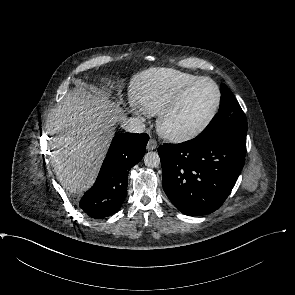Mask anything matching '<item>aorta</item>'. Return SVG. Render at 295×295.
Listing matches in <instances>:
<instances>
[{
  "instance_id": "obj_1",
  "label": "aorta",
  "mask_w": 295,
  "mask_h": 295,
  "mask_svg": "<svg viewBox=\"0 0 295 295\" xmlns=\"http://www.w3.org/2000/svg\"><path fill=\"white\" fill-rule=\"evenodd\" d=\"M144 163L148 168H156L160 164V157L157 152H148L144 156Z\"/></svg>"
}]
</instances>
